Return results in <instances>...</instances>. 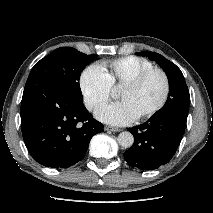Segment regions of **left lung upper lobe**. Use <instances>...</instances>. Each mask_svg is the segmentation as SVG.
I'll use <instances>...</instances> for the list:
<instances>
[{
	"label": "left lung upper lobe",
	"instance_id": "obj_1",
	"mask_svg": "<svg viewBox=\"0 0 213 213\" xmlns=\"http://www.w3.org/2000/svg\"><path fill=\"white\" fill-rule=\"evenodd\" d=\"M137 55L147 56L151 60H154L165 71L169 81L170 91L167 101L154 115L165 111H179L188 114L190 95L181 70L174 63L158 53L142 51L138 52Z\"/></svg>",
	"mask_w": 213,
	"mask_h": 213
}]
</instances>
